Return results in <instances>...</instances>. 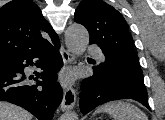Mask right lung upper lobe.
Returning <instances> with one entry per match:
<instances>
[{
  "instance_id": "cb5924a9",
  "label": "right lung upper lobe",
  "mask_w": 165,
  "mask_h": 120,
  "mask_svg": "<svg viewBox=\"0 0 165 120\" xmlns=\"http://www.w3.org/2000/svg\"><path fill=\"white\" fill-rule=\"evenodd\" d=\"M57 37L32 0H13L0 9V62Z\"/></svg>"
}]
</instances>
